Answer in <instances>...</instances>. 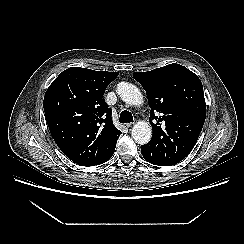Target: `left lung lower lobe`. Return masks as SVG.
<instances>
[{"instance_id": "left-lung-lower-lobe-1", "label": "left lung lower lobe", "mask_w": 244, "mask_h": 244, "mask_svg": "<svg viewBox=\"0 0 244 244\" xmlns=\"http://www.w3.org/2000/svg\"><path fill=\"white\" fill-rule=\"evenodd\" d=\"M141 152H142L143 157H144L148 162H150L149 154H148V152L145 150V148H144L143 145L141 146Z\"/></svg>"}]
</instances>
